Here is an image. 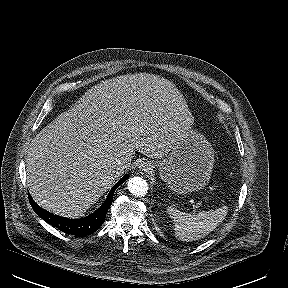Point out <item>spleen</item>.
Listing matches in <instances>:
<instances>
[{
	"mask_svg": "<svg viewBox=\"0 0 288 288\" xmlns=\"http://www.w3.org/2000/svg\"><path fill=\"white\" fill-rule=\"evenodd\" d=\"M167 212L175 224V237L189 242L204 238L211 233L225 219L228 208L223 206L215 210L190 214L181 212L175 207H168Z\"/></svg>",
	"mask_w": 288,
	"mask_h": 288,
	"instance_id": "3e777b00",
	"label": "spleen"
}]
</instances>
